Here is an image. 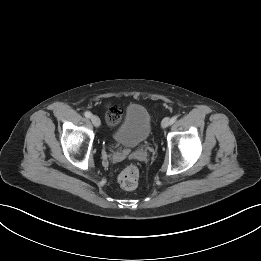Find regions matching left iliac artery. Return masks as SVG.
Wrapping results in <instances>:
<instances>
[{"mask_svg": "<svg viewBox=\"0 0 261 261\" xmlns=\"http://www.w3.org/2000/svg\"><path fill=\"white\" fill-rule=\"evenodd\" d=\"M177 120V116H173L171 119H170V123H174L175 121Z\"/></svg>", "mask_w": 261, "mask_h": 261, "instance_id": "obj_1", "label": "left iliac artery"}]
</instances>
